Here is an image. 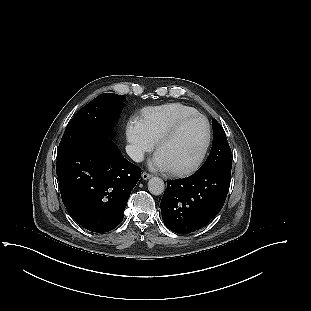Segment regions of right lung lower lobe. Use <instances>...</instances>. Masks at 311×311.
Masks as SVG:
<instances>
[{
    "label": "right lung lower lobe",
    "mask_w": 311,
    "mask_h": 311,
    "mask_svg": "<svg viewBox=\"0 0 311 311\" xmlns=\"http://www.w3.org/2000/svg\"><path fill=\"white\" fill-rule=\"evenodd\" d=\"M57 157L61 197L75 221L99 233L117 227L141 169L109 138L84 140Z\"/></svg>",
    "instance_id": "obj_1"
}]
</instances>
